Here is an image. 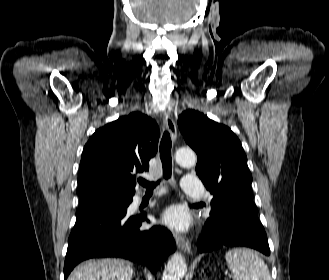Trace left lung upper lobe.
<instances>
[{
    "instance_id": "1",
    "label": "left lung upper lobe",
    "mask_w": 329,
    "mask_h": 280,
    "mask_svg": "<svg viewBox=\"0 0 329 280\" xmlns=\"http://www.w3.org/2000/svg\"><path fill=\"white\" fill-rule=\"evenodd\" d=\"M178 125L185 141L198 155L199 178L214 195L207 221L217 226L223 221L229 204L250 196L252 176L246 155L230 128L203 113L186 110L179 116Z\"/></svg>"
}]
</instances>
